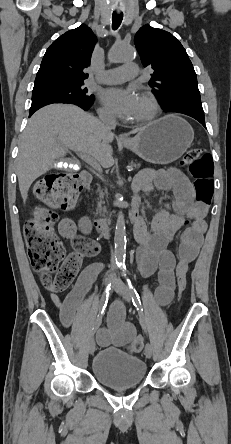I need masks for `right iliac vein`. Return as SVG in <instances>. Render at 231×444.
Masks as SVG:
<instances>
[{
  "label": "right iliac vein",
  "mask_w": 231,
  "mask_h": 444,
  "mask_svg": "<svg viewBox=\"0 0 231 444\" xmlns=\"http://www.w3.org/2000/svg\"><path fill=\"white\" fill-rule=\"evenodd\" d=\"M95 349H96L95 342L94 340H91L89 344V353L93 354L95 352Z\"/></svg>",
  "instance_id": "obj_1"
}]
</instances>
